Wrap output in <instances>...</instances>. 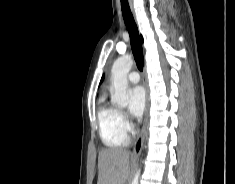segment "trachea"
I'll return each instance as SVG.
<instances>
[{
    "mask_svg": "<svg viewBox=\"0 0 235 184\" xmlns=\"http://www.w3.org/2000/svg\"><path fill=\"white\" fill-rule=\"evenodd\" d=\"M121 7H122V15L124 18V22L130 36L132 52L134 54V58L138 69L142 71L144 65L143 50L137 25L135 23L130 7L128 5V0H121Z\"/></svg>",
    "mask_w": 235,
    "mask_h": 184,
    "instance_id": "1",
    "label": "trachea"
}]
</instances>
